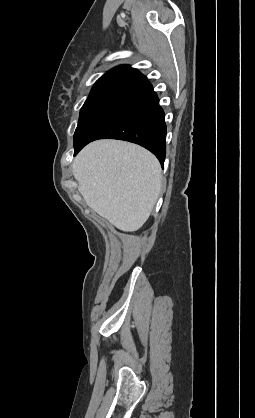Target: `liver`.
Returning <instances> with one entry per match:
<instances>
[{
    "label": "liver",
    "instance_id": "6515ba94",
    "mask_svg": "<svg viewBox=\"0 0 255 418\" xmlns=\"http://www.w3.org/2000/svg\"><path fill=\"white\" fill-rule=\"evenodd\" d=\"M72 168L87 205L125 232L143 226L161 191L158 160L132 143L92 142L77 155Z\"/></svg>",
    "mask_w": 255,
    "mask_h": 418
}]
</instances>
